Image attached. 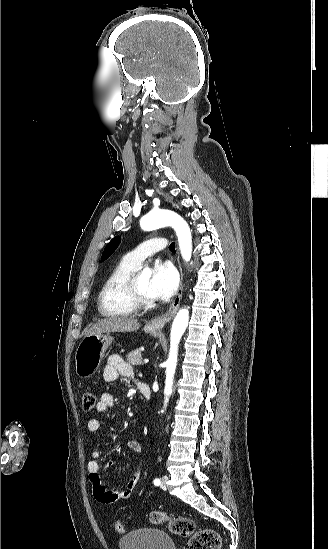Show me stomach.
<instances>
[{
    "instance_id": "stomach-1",
    "label": "stomach",
    "mask_w": 328,
    "mask_h": 549,
    "mask_svg": "<svg viewBox=\"0 0 328 549\" xmlns=\"http://www.w3.org/2000/svg\"><path fill=\"white\" fill-rule=\"evenodd\" d=\"M145 333L156 335L157 329L153 325L143 327ZM114 337L110 333H100V335H86L83 341L79 343L75 353L76 375L81 379H90L95 375L100 363L110 347Z\"/></svg>"
}]
</instances>
